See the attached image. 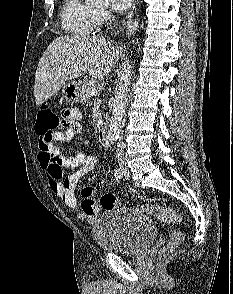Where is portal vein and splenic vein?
Returning <instances> with one entry per match:
<instances>
[{
	"label": "portal vein and splenic vein",
	"instance_id": "1",
	"mask_svg": "<svg viewBox=\"0 0 233 294\" xmlns=\"http://www.w3.org/2000/svg\"><path fill=\"white\" fill-rule=\"evenodd\" d=\"M89 94L95 97L98 95V91L95 88H92L89 90Z\"/></svg>",
	"mask_w": 233,
	"mask_h": 294
}]
</instances>
